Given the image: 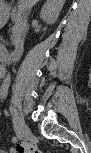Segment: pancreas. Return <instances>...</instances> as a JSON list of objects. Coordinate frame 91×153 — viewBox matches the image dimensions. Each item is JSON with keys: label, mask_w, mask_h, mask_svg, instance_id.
I'll return each mask as SVG.
<instances>
[{"label": "pancreas", "mask_w": 91, "mask_h": 153, "mask_svg": "<svg viewBox=\"0 0 91 153\" xmlns=\"http://www.w3.org/2000/svg\"><path fill=\"white\" fill-rule=\"evenodd\" d=\"M12 20L15 22V25L12 27L11 42L13 45H15L19 37L24 33L26 26L21 19L16 16H13Z\"/></svg>", "instance_id": "obj_1"}]
</instances>
